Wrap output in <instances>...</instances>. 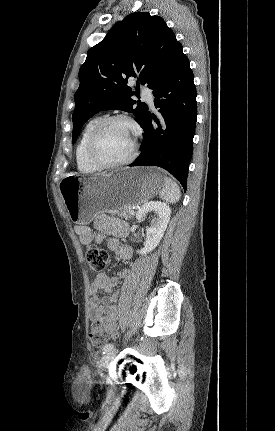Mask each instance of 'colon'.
Returning <instances> with one entry per match:
<instances>
[{"label": "colon", "mask_w": 275, "mask_h": 431, "mask_svg": "<svg viewBox=\"0 0 275 431\" xmlns=\"http://www.w3.org/2000/svg\"><path fill=\"white\" fill-rule=\"evenodd\" d=\"M86 259L90 269L100 274L108 264L109 254L101 248H90L86 252ZM89 337L92 345L95 347H102L108 340L107 334L99 322L91 323Z\"/></svg>", "instance_id": "5ec220e1"}]
</instances>
